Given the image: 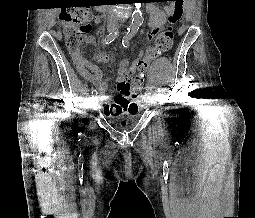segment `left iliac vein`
Listing matches in <instances>:
<instances>
[{"label": "left iliac vein", "instance_id": "obj_1", "mask_svg": "<svg viewBox=\"0 0 255 218\" xmlns=\"http://www.w3.org/2000/svg\"><path fill=\"white\" fill-rule=\"evenodd\" d=\"M144 101L147 102V103L150 102V97H149L148 94H145V96H144Z\"/></svg>", "mask_w": 255, "mask_h": 218}]
</instances>
